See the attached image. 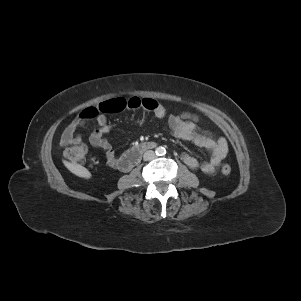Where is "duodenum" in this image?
Masks as SVG:
<instances>
[{"label":"duodenum","mask_w":301,"mask_h":301,"mask_svg":"<svg viewBox=\"0 0 301 301\" xmlns=\"http://www.w3.org/2000/svg\"><path fill=\"white\" fill-rule=\"evenodd\" d=\"M155 147L153 142H144L137 146H134L128 150L122 157L121 167L123 171L130 170L141 159L142 155L147 151Z\"/></svg>","instance_id":"1"}]
</instances>
